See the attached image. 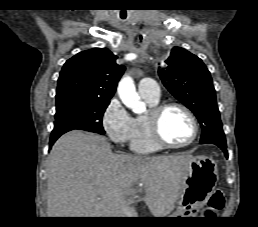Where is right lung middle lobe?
Segmentation results:
<instances>
[{
  "label": "right lung middle lobe",
  "mask_w": 258,
  "mask_h": 227,
  "mask_svg": "<svg viewBox=\"0 0 258 227\" xmlns=\"http://www.w3.org/2000/svg\"><path fill=\"white\" fill-rule=\"evenodd\" d=\"M109 103L73 95L58 97L55 127L80 129L104 135L102 117Z\"/></svg>",
  "instance_id": "obj_1"
}]
</instances>
